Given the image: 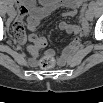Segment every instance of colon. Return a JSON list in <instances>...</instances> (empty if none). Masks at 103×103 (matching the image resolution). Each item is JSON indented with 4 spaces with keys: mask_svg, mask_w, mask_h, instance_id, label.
<instances>
[{
    "mask_svg": "<svg viewBox=\"0 0 103 103\" xmlns=\"http://www.w3.org/2000/svg\"><path fill=\"white\" fill-rule=\"evenodd\" d=\"M55 65V58L53 55H47L40 61V66L43 69H50Z\"/></svg>",
    "mask_w": 103,
    "mask_h": 103,
    "instance_id": "colon-1",
    "label": "colon"
}]
</instances>
